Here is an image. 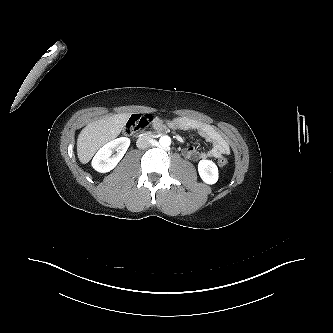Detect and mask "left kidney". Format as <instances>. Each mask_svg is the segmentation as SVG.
Returning a JSON list of instances; mask_svg holds the SVG:
<instances>
[{
    "label": "left kidney",
    "mask_w": 333,
    "mask_h": 333,
    "mask_svg": "<svg viewBox=\"0 0 333 333\" xmlns=\"http://www.w3.org/2000/svg\"><path fill=\"white\" fill-rule=\"evenodd\" d=\"M198 171L206 184H215L218 181V168L211 160L199 161Z\"/></svg>",
    "instance_id": "obj_1"
}]
</instances>
